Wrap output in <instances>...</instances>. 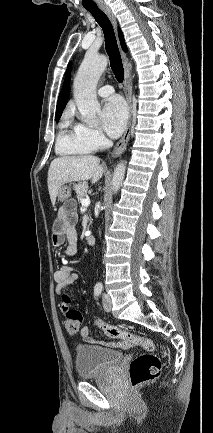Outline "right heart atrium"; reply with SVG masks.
I'll use <instances>...</instances> for the list:
<instances>
[{"instance_id": "right-heart-atrium-1", "label": "right heart atrium", "mask_w": 213, "mask_h": 433, "mask_svg": "<svg viewBox=\"0 0 213 433\" xmlns=\"http://www.w3.org/2000/svg\"><path fill=\"white\" fill-rule=\"evenodd\" d=\"M79 127L85 138L91 143L94 149L102 148L106 145V138L99 129L79 124Z\"/></svg>"}]
</instances>
